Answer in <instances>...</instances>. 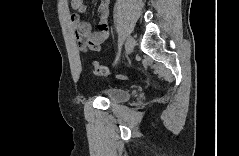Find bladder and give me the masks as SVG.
<instances>
[{"instance_id": "1", "label": "bladder", "mask_w": 239, "mask_h": 156, "mask_svg": "<svg viewBox=\"0 0 239 156\" xmlns=\"http://www.w3.org/2000/svg\"><path fill=\"white\" fill-rule=\"evenodd\" d=\"M104 94L112 103L120 104L130 100L131 93L121 88H109L104 90Z\"/></svg>"}]
</instances>
